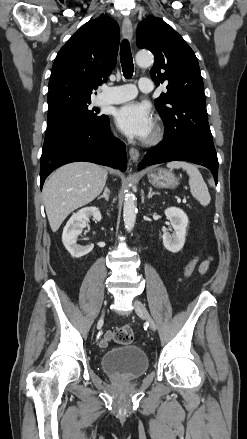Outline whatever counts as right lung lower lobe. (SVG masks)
Masks as SVG:
<instances>
[{
	"label": "right lung lower lobe",
	"mask_w": 247,
	"mask_h": 439,
	"mask_svg": "<svg viewBox=\"0 0 247 439\" xmlns=\"http://www.w3.org/2000/svg\"><path fill=\"white\" fill-rule=\"evenodd\" d=\"M77 161L126 170L125 145L112 137L108 117L99 126L68 130L45 138L40 163L41 189L52 171Z\"/></svg>",
	"instance_id": "obj_1"
}]
</instances>
